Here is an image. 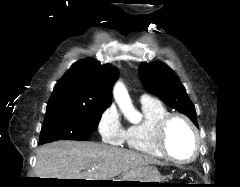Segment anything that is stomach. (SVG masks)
Masks as SVG:
<instances>
[{
    "label": "stomach",
    "mask_w": 240,
    "mask_h": 187,
    "mask_svg": "<svg viewBox=\"0 0 240 187\" xmlns=\"http://www.w3.org/2000/svg\"><path fill=\"white\" fill-rule=\"evenodd\" d=\"M111 181H124L114 182L113 186L122 187H158L161 182V174L155 166L147 165L139 167L134 170L123 173L119 180ZM140 182H157V183H140ZM113 183V182H112Z\"/></svg>",
    "instance_id": "stomach-1"
}]
</instances>
